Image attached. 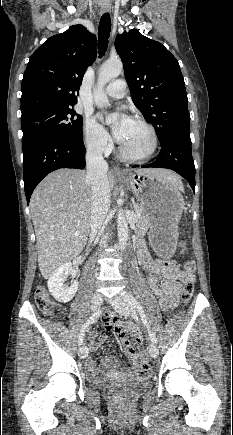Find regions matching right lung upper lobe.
I'll use <instances>...</instances> for the list:
<instances>
[{
    "instance_id": "obj_1",
    "label": "right lung upper lobe",
    "mask_w": 233,
    "mask_h": 435,
    "mask_svg": "<svg viewBox=\"0 0 233 435\" xmlns=\"http://www.w3.org/2000/svg\"><path fill=\"white\" fill-rule=\"evenodd\" d=\"M96 59V36L82 25L47 39L30 57L22 80V116L77 103L85 70Z\"/></svg>"
}]
</instances>
